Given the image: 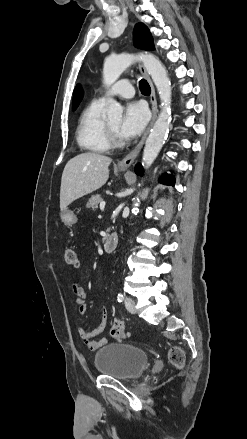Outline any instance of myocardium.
I'll return each instance as SVG.
<instances>
[{"instance_id":"obj_1","label":"myocardium","mask_w":247,"mask_h":439,"mask_svg":"<svg viewBox=\"0 0 247 439\" xmlns=\"http://www.w3.org/2000/svg\"><path fill=\"white\" fill-rule=\"evenodd\" d=\"M106 133L111 147H122L125 145V141L118 136L108 122H106Z\"/></svg>"}]
</instances>
